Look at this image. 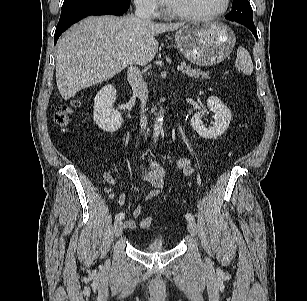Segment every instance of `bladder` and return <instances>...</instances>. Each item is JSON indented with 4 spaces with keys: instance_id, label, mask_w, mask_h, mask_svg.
Here are the masks:
<instances>
[{
    "instance_id": "bladder-1",
    "label": "bladder",
    "mask_w": 307,
    "mask_h": 301,
    "mask_svg": "<svg viewBox=\"0 0 307 301\" xmlns=\"http://www.w3.org/2000/svg\"><path fill=\"white\" fill-rule=\"evenodd\" d=\"M166 249L165 241L162 237H156L150 240L143 247V251L146 253H159L163 252Z\"/></svg>"
}]
</instances>
